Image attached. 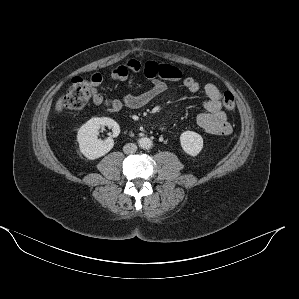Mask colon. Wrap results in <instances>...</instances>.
<instances>
[{"label":"colon","mask_w":299,"mask_h":299,"mask_svg":"<svg viewBox=\"0 0 299 299\" xmlns=\"http://www.w3.org/2000/svg\"><path fill=\"white\" fill-rule=\"evenodd\" d=\"M98 80L99 78L95 75L90 79L74 77L64 98L65 108L69 110L83 109L89 102ZM222 102L227 111L234 110L235 99L231 92H226L224 94Z\"/></svg>","instance_id":"colon-1"}]
</instances>
